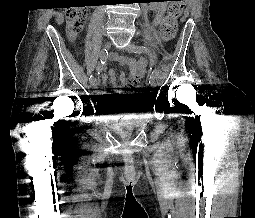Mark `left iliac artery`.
I'll list each match as a JSON object with an SVG mask.
<instances>
[{
  "label": "left iliac artery",
  "instance_id": "left-iliac-artery-1",
  "mask_svg": "<svg viewBox=\"0 0 255 218\" xmlns=\"http://www.w3.org/2000/svg\"><path fill=\"white\" fill-rule=\"evenodd\" d=\"M134 53H139V54H140V53H147V54L152 55L151 50H150L148 47H145V46H137V47L135 48ZM156 76H157V69L155 68V69L152 71L151 75H150L149 83L154 82L155 79H156Z\"/></svg>",
  "mask_w": 255,
  "mask_h": 218
}]
</instances>
